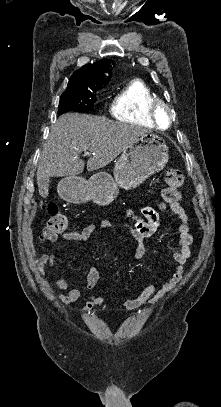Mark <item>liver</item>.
Returning <instances> with one entry per match:
<instances>
[{
	"mask_svg": "<svg viewBox=\"0 0 221 407\" xmlns=\"http://www.w3.org/2000/svg\"><path fill=\"white\" fill-rule=\"evenodd\" d=\"M148 130L105 117L67 113L52 125L37 166V184L43 178L81 174L83 151L94 153L87 170L94 171L113 161L137 137Z\"/></svg>",
	"mask_w": 221,
	"mask_h": 407,
	"instance_id": "liver-1",
	"label": "liver"
}]
</instances>
